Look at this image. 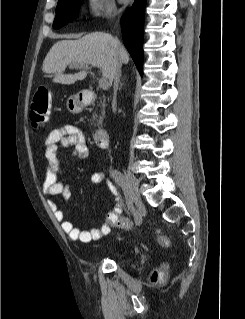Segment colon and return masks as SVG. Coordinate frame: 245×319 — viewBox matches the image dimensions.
Returning <instances> with one entry per match:
<instances>
[{"label": "colon", "mask_w": 245, "mask_h": 319, "mask_svg": "<svg viewBox=\"0 0 245 319\" xmlns=\"http://www.w3.org/2000/svg\"><path fill=\"white\" fill-rule=\"evenodd\" d=\"M50 106H51V95L49 90L45 87L38 88L32 97L31 111H30L31 121L33 122L36 128H39L43 123L46 122L50 114ZM109 219L114 225L119 227H128L129 225V223L126 220L119 218L115 214H110ZM156 234L158 235L160 242L163 245L165 246L170 245V241L167 238L162 237L160 235L159 230L156 231ZM151 281L156 282L157 277L153 276L151 278Z\"/></svg>", "instance_id": "5ec220e1"}]
</instances>
